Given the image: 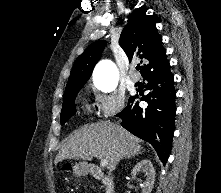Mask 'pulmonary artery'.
<instances>
[{
  "label": "pulmonary artery",
  "mask_w": 221,
  "mask_h": 193,
  "mask_svg": "<svg viewBox=\"0 0 221 193\" xmlns=\"http://www.w3.org/2000/svg\"><path fill=\"white\" fill-rule=\"evenodd\" d=\"M130 80L132 83H137L140 80V76L136 72L130 74Z\"/></svg>",
  "instance_id": "obj_1"
}]
</instances>
